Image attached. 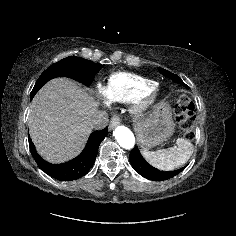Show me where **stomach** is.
Segmentation results:
<instances>
[{"label": "stomach", "instance_id": "0dacf381", "mask_svg": "<svg viewBox=\"0 0 236 236\" xmlns=\"http://www.w3.org/2000/svg\"><path fill=\"white\" fill-rule=\"evenodd\" d=\"M139 145L150 149L167 141L174 132L171 107L165 101L158 103L152 114L135 125Z\"/></svg>", "mask_w": 236, "mask_h": 236}]
</instances>
